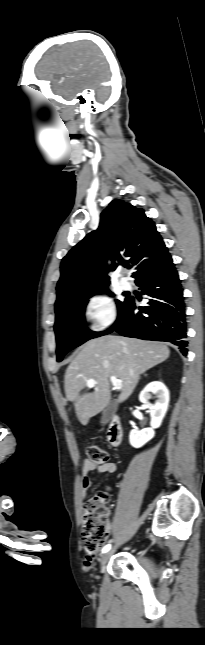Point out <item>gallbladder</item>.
I'll return each mask as SVG.
<instances>
[{"mask_svg":"<svg viewBox=\"0 0 205 645\" xmlns=\"http://www.w3.org/2000/svg\"><path fill=\"white\" fill-rule=\"evenodd\" d=\"M116 410V403L115 401H110L105 410L102 413L101 417V423L103 425L107 424L110 419L112 418L114 412Z\"/></svg>","mask_w":205,"mask_h":645,"instance_id":"obj_1","label":"gallbladder"}]
</instances>
